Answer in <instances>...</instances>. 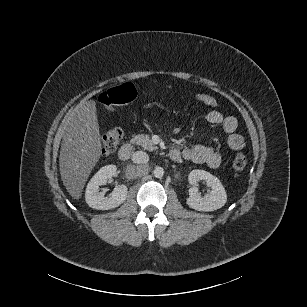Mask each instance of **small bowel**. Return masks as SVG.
Wrapping results in <instances>:
<instances>
[{"label": "small bowel", "mask_w": 307, "mask_h": 307, "mask_svg": "<svg viewBox=\"0 0 307 307\" xmlns=\"http://www.w3.org/2000/svg\"><path fill=\"white\" fill-rule=\"evenodd\" d=\"M206 119L213 125H220L223 130L229 134V149L239 150L244 147V138L235 133L238 126L236 118L232 116H224L218 110H210L206 115ZM175 150L178 153V158L175 161L183 158L195 163L205 164L210 168H217L222 162V154L210 146L195 145L191 148Z\"/></svg>", "instance_id": "obj_1"}]
</instances>
